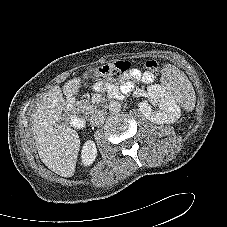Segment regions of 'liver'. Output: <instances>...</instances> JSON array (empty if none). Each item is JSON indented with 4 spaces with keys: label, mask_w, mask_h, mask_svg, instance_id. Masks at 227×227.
<instances>
[{
    "label": "liver",
    "mask_w": 227,
    "mask_h": 227,
    "mask_svg": "<svg viewBox=\"0 0 227 227\" xmlns=\"http://www.w3.org/2000/svg\"><path fill=\"white\" fill-rule=\"evenodd\" d=\"M92 71V69L90 70ZM84 73L83 78H87ZM81 78H73L61 89L55 85L40 100L33 114V133L41 161L53 172L62 177L74 175L80 148L78 133L66 126H56L62 119L65 99L77 94Z\"/></svg>",
    "instance_id": "6515ba94"
}]
</instances>
